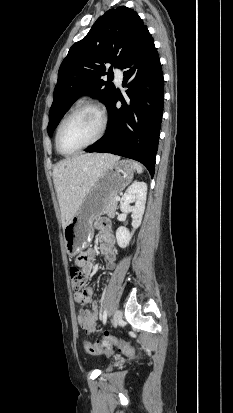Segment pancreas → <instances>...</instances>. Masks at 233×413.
<instances>
[{
  "instance_id": "pancreas-1",
  "label": "pancreas",
  "mask_w": 233,
  "mask_h": 413,
  "mask_svg": "<svg viewBox=\"0 0 233 413\" xmlns=\"http://www.w3.org/2000/svg\"><path fill=\"white\" fill-rule=\"evenodd\" d=\"M116 208H117V201L115 200V196H111L104 203V213H106L110 217H114Z\"/></svg>"
}]
</instances>
